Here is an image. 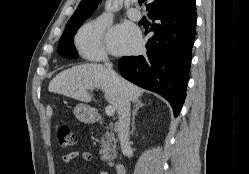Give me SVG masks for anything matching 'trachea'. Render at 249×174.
I'll use <instances>...</instances> for the list:
<instances>
[{"label":"trachea","mask_w":249,"mask_h":174,"mask_svg":"<svg viewBox=\"0 0 249 174\" xmlns=\"http://www.w3.org/2000/svg\"><path fill=\"white\" fill-rule=\"evenodd\" d=\"M143 2H144V0H138V3H139L140 5H142Z\"/></svg>","instance_id":"3493384b"}]
</instances>
